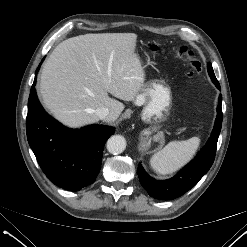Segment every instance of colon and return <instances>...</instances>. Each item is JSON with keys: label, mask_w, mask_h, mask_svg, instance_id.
I'll return each instance as SVG.
<instances>
[{"label": "colon", "mask_w": 247, "mask_h": 247, "mask_svg": "<svg viewBox=\"0 0 247 247\" xmlns=\"http://www.w3.org/2000/svg\"><path fill=\"white\" fill-rule=\"evenodd\" d=\"M153 52H162L156 45L151 46ZM172 54L176 57L184 59L191 67L192 75L199 76L201 73L202 65L201 62L197 59L195 53L185 45H180L171 50Z\"/></svg>", "instance_id": "obj_1"}]
</instances>
